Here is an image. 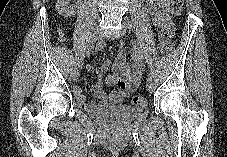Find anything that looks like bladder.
I'll list each match as a JSON object with an SVG mask.
<instances>
[{
    "mask_svg": "<svg viewBox=\"0 0 227 157\" xmlns=\"http://www.w3.org/2000/svg\"><path fill=\"white\" fill-rule=\"evenodd\" d=\"M142 112L140 107L116 104L91 111L90 116L104 125L120 126L134 121Z\"/></svg>",
    "mask_w": 227,
    "mask_h": 157,
    "instance_id": "bladder-1",
    "label": "bladder"
}]
</instances>
